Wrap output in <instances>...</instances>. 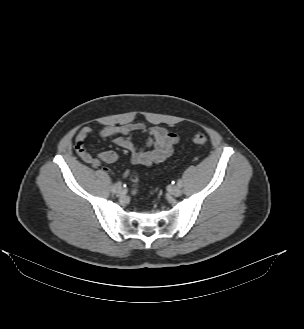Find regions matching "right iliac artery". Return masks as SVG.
Masks as SVG:
<instances>
[{"instance_id":"right-iliac-artery-1","label":"right iliac artery","mask_w":304,"mask_h":329,"mask_svg":"<svg viewBox=\"0 0 304 329\" xmlns=\"http://www.w3.org/2000/svg\"><path fill=\"white\" fill-rule=\"evenodd\" d=\"M111 191H112L113 193H116V184H113V185L111 186Z\"/></svg>"}]
</instances>
